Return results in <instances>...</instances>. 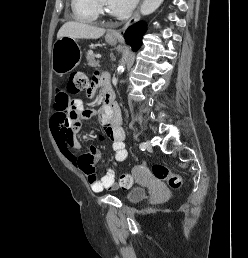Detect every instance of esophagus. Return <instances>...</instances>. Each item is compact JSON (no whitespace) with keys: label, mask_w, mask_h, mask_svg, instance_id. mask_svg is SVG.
<instances>
[{"label":"esophagus","mask_w":248,"mask_h":258,"mask_svg":"<svg viewBox=\"0 0 248 258\" xmlns=\"http://www.w3.org/2000/svg\"><path fill=\"white\" fill-rule=\"evenodd\" d=\"M140 5L138 6V8L136 9V11L134 12L133 16L130 18V20L119 30H111L109 32V34L111 35H115L118 36L121 34L122 31H125L128 27H130L131 25H133L138 19H139V11H140Z\"/></svg>","instance_id":"34e87169"}]
</instances>
